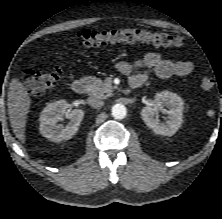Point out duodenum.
Listing matches in <instances>:
<instances>
[{
	"label": "duodenum",
	"mask_w": 222,
	"mask_h": 219,
	"mask_svg": "<svg viewBox=\"0 0 222 219\" xmlns=\"http://www.w3.org/2000/svg\"><path fill=\"white\" fill-rule=\"evenodd\" d=\"M141 84H130L131 89H137ZM87 84L83 79H76L71 84V89L75 94H83L86 91Z\"/></svg>",
	"instance_id": "1"
}]
</instances>
